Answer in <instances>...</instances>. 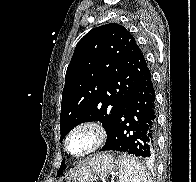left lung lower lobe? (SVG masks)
Returning a JSON list of instances; mask_svg holds the SVG:
<instances>
[{"instance_id": "obj_1", "label": "left lung lower lobe", "mask_w": 196, "mask_h": 182, "mask_svg": "<svg viewBox=\"0 0 196 182\" xmlns=\"http://www.w3.org/2000/svg\"><path fill=\"white\" fill-rule=\"evenodd\" d=\"M156 147L155 90L149 68L119 109L101 151L127 152L152 158Z\"/></svg>"}]
</instances>
